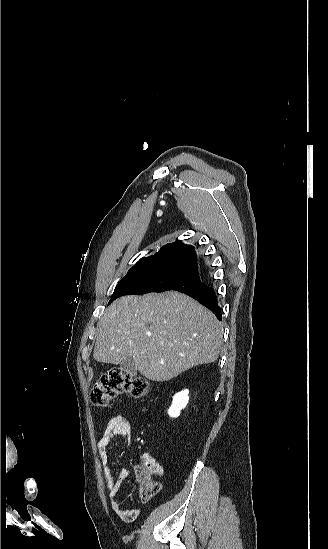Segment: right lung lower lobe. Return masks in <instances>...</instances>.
Listing matches in <instances>:
<instances>
[{
    "mask_svg": "<svg viewBox=\"0 0 328 549\" xmlns=\"http://www.w3.org/2000/svg\"><path fill=\"white\" fill-rule=\"evenodd\" d=\"M183 293H186L189 296L198 300L201 304H203L208 309H210L218 319L222 318L221 310H220V307L218 306L216 294L213 288L205 285V286H202L201 288L186 290Z\"/></svg>",
    "mask_w": 328,
    "mask_h": 549,
    "instance_id": "98d812e1",
    "label": "right lung lower lobe"
}]
</instances>
